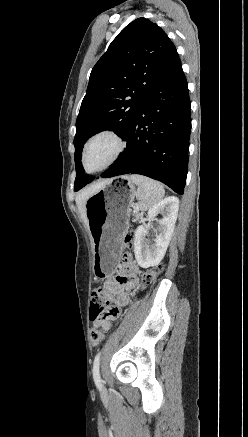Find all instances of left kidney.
I'll return each mask as SVG.
<instances>
[{
	"mask_svg": "<svg viewBox=\"0 0 248 437\" xmlns=\"http://www.w3.org/2000/svg\"><path fill=\"white\" fill-rule=\"evenodd\" d=\"M179 210L178 198L171 196L155 204L148 211L147 221L151 222L160 213L159 227L156 230L154 244L145 239L147 227L140 225L134 237V253L137 263L142 268L158 265L168 248Z\"/></svg>",
	"mask_w": 248,
	"mask_h": 437,
	"instance_id": "1",
	"label": "left kidney"
}]
</instances>
